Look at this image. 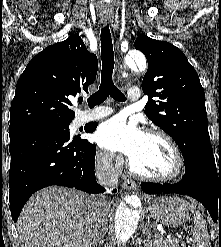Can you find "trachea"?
I'll use <instances>...</instances> for the list:
<instances>
[{
	"mask_svg": "<svg viewBox=\"0 0 221 247\" xmlns=\"http://www.w3.org/2000/svg\"><path fill=\"white\" fill-rule=\"evenodd\" d=\"M101 56V84L99 90L87 100L90 108L103 103L109 95L119 102L126 101L125 95L114 85L112 79L115 62L112 38L108 25L101 29Z\"/></svg>",
	"mask_w": 221,
	"mask_h": 247,
	"instance_id": "obj_1",
	"label": "trachea"
}]
</instances>
